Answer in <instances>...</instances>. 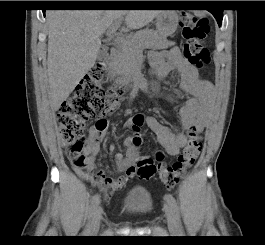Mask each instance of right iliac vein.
Segmentation results:
<instances>
[{
	"instance_id": "63e3f726",
	"label": "right iliac vein",
	"mask_w": 265,
	"mask_h": 245,
	"mask_svg": "<svg viewBox=\"0 0 265 245\" xmlns=\"http://www.w3.org/2000/svg\"><path fill=\"white\" fill-rule=\"evenodd\" d=\"M102 216V207L98 206L94 212L92 222L88 229V236H95L99 230L100 222Z\"/></svg>"
}]
</instances>
